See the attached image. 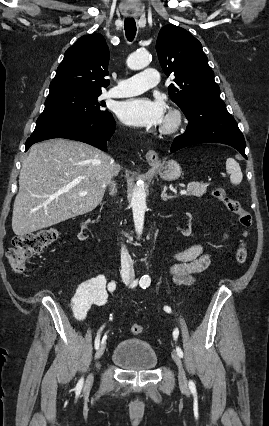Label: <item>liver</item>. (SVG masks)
Returning a JSON list of instances; mask_svg holds the SVG:
<instances>
[{
  "label": "liver",
  "mask_w": 269,
  "mask_h": 426,
  "mask_svg": "<svg viewBox=\"0 0 269 426\" xmlns=\"http://www.w3.org/2000/svg\"><path fill=\"white\" fill-rule=\"evenodd\" d=\"M112 158L95 147L50 139L30 148L22 163L12 229L17 236L91 212L119 172ZM86 191V196L79 193Z\"/></svg>",
  "instance_id": "liver-1"
}]
</instances>
